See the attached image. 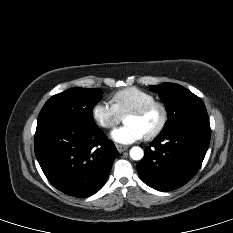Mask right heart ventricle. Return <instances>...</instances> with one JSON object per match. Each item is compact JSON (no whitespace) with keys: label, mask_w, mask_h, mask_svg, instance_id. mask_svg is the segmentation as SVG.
Wrapping results in <instances>:
<instances>
[{"label":"right heart ventricle","mask_w":233,"mask_h":233,"mask_svg":"<svg viewBox=\"0 0 233 233\" xmlns=\"http://www.w3.org/2000/svg\"><path fill=\"white\" fill-rule=\"evenodd\" d=\"M155 97L148 91L137 87H127L115 92L111 97L113 106L121 116L148 102L154 101Z\"/></svg>","instance_id":"obj_1"}]
</instances>
